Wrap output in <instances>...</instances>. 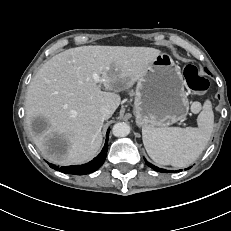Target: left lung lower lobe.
Listing matches in <instances>:
<instances>
[{"instance_id":"obj_1","label":"left lung lower lobe","mask_w":231,"mask_h":231,"mask_svg":"<svg viewBox=\"0 0 231 231\" xmlns=\"http://www.w3.org/2000/svg\"><path fill=\"white\" fill-rule=\"evenodd\" d=\"M145 163L148 165V166H150L152 169H154L155 171H159V172H163V173H170V172H172V171H167V170H165V169H160V168H158V167H156V166H154V165H152V164H150L148 161H146L145 160ZM176 172H178V171H176Z\"/></svg>"}]
</instances>
